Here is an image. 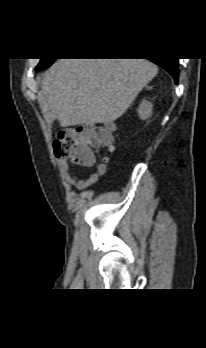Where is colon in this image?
<instances>
[{
	"label": "colon",
	"instance_id": "5ec220e1",
	"mask_svg": "<svg viewBox=\"0 0 206 348\" xmlns=\"http://www.w3.org/2000/svg\"><path fill=\"white\" fill-rule=\"evenodd\" d=\"M108 147L113 152L111 129L106 125H83L74 129L62 131L53 144L57 158L74 164L90 165L95 162L93 150ZM109 156L104 157L108 161Z\"/></svg>",
	"mask_w": 206,
	"mask_h": 348
}]
</instances>
